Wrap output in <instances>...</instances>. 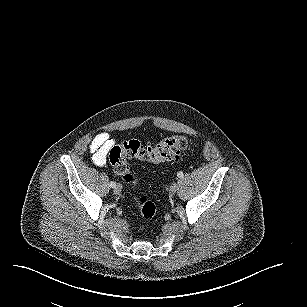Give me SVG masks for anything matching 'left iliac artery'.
Here are the masks:
<instances>
[{"label": "left iliac artery", "mask_w": 307, "mask_h": 307, "mask_svg": "<svg viewBox=\"0 0 307 307\" xmlns=\"http://www.w3.org/2000/svg\"><path fill=\"white\" fill-rule=\"evenodd\" d=\"M177 176H178L179 178H182V177H183V172H179V173L177 174Z\"/></svg>", "instance_id": "left-iliac-artery-1"}]
</instances>
